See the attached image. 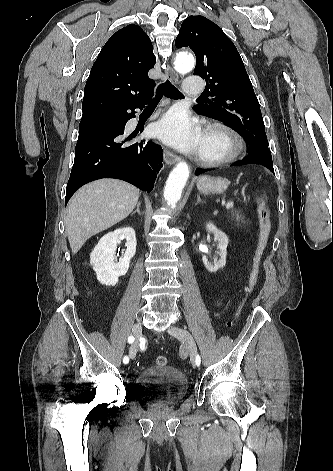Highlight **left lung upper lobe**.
Returning <instances> with one entry per match:
<instances>
[{
  "label": "left lung upper lobe",
  "mask_w": 333,
  "mask_h": 471,
  "mask_svg": "<svg viewBox=\"0 0 333 471\" xmlns=\"http://www.w3.org/2000/svg\"><path fill=\"white\" fill-rule=\"evenodd\" d=\"M175 44L194 51V74L206 79L207 95L213 97L193 109L235 128L248 141L249 153L269 151L258 99L235 45L222 29L203 16H190Z\"/></svg>",
  "instance_id": "1"
}]
</instances>
